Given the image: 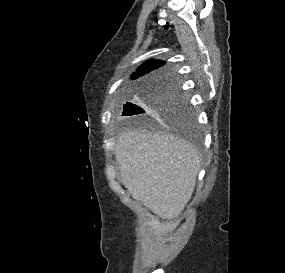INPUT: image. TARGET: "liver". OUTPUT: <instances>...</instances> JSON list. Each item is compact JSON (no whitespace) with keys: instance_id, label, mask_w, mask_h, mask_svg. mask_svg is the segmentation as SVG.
<instances>
[{"instance_id":"1","label":"liver","mask_w":285,"mask_h":273,"mask_svg":"<svg viewBox=\"0 0 285 273\" xmlns=\"http://www.w3.org/2000/svg\"><path fill=\"white\" fill-rule=\"evenodd\" d=\"M115 158L122 185L167 222L157 230L173 231L194 192L200 157L190 144L169 134L125 130L116 139ZM168 220H170L168 222Z\"/></svg>"}]
</instances>
